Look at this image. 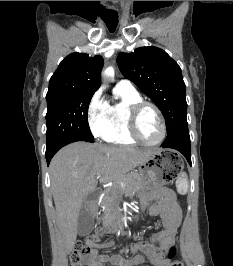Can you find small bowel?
I'll return each mask as SVG.
<instances>
[{"mask_svg": "<svg viewBox=\"0 0 233 266\" xmlns=\"http://www.w3.org/2000/svg\"><path fill=\"white\" fill-rule=\"evenodd\" d=\"M150 197L155 202L149 212L161 218L163 229L153 234L148 241L132 243L130 251L136 255L129 260L119 254H109L107 249L113 245V241L94 243L84 257L85 266H136L147 260L152 266H169L168 261L163 258V252L176 242L181 223V208L174 192L169 188H161L152 196L144 195L143 206ZM100 250L105 252L101 253Z\"/></svg>", "mask_w": 233, "mask_h": 266, "instance_id": "c3829d8e", "label": "small bowel"}]
</instances>
